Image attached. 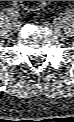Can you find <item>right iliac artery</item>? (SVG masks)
<instances>
[{
  "label": "right iliac artery",
  "instance_id": "obj_1",
  "mask_svg": "<svg viewBox=\"0 0 74 122\" xmlns=\"http://www.w3.org/2000/svg\"><path fill=\"white\" fill-rule=\"evenodd\" d=\"M8 14L11 16V17H14V13H15V10L12 8V9H9L7 10Z\"/></svg>",
  "mask_w": 74,
  "mask_h": 122
}]
</instances>
